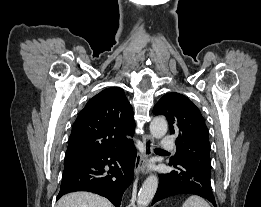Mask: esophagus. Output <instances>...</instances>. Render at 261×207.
Returning a JSON list of instances; mask_svg holds the SVG:
<instances>
[{"label":"esophagus","instance_id":"obj_1","mask_svg":"<svg viewBox=\"0 0 261 207\" xmlns=\"http://www.w3.org/2000/svg\"><path fill=\"white\" fill-rule=\"evenodd\" d=\"M143 145H144V153L140 158L136 159L135 162V174H137L140 171L142 172V174L148 173L147 162L153 153V148H154L153 137L150 135H144Z\"/></svg>","mask_w":261,"mask_h":207}]
</instances>
